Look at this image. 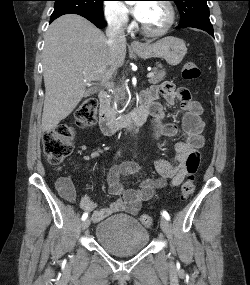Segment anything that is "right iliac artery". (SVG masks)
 Instances as JSON below:
<instances>
[{"instance_id": "obj_1", "label": "right iliac artery", "mask_w": 250, "mask_h": 285, "mask_svg": "<svg viewBox=\"0 0 250 285\" xmlns=\"http://www.w3.org/2000/svg\"><path fill=\"white\" fill-rule=\"evenodd\" d=\"M87 217H88V213L85 212V213L82 215V220H85Z\"/></svg>"}]
</instances>
